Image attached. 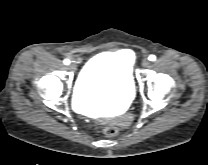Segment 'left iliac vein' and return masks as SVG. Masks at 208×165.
I'll return each mask as SVG.
<instances>
[{
  "instance_id": "obj_1",
  "label": "left iliac vein",
  "mask_w": 208,
  "mask_h": 165,
  "mask_svg": "<svg viewBox=\"0 0 208 165\" xmlns=\"http://www.w3.org/2000/svg\"><path fill=\"white\" fill-rule=\"evenodd\" d=\"M149 65H150V61L147 58L143 59L142 66L146 68L149 67Z\"/></svg>"
}]
</instances>
